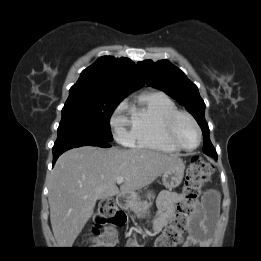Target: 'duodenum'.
I'll return each mask as SVG.
<instances>
[{
  "instance_id": "410a0bca",
  "label": "duodenum",
  "mask_w": 261,
  "mask_h": 261,
  "mask_svg": "<svg viewBox=\"0 0 261 261\" xmlns=\"http://www.w3.org/2000/svg\"><path fill=\"white\" fill-rule=\"evenodd\" d=\"M127 202H128V197L126 194H120L117 196L116 199V204L118 205V207L122 210L126 209L127 207ZM121 211V210H120ZM123 212V211H121ZM124 213V212H123Z\"/></svg>"
}]
</instances>
